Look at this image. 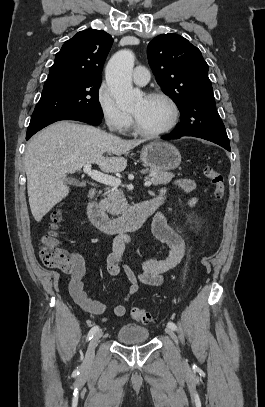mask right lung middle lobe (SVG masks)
I'll return each instance as SVG.
<instances>
[{"mask_svg":"<svg viewBox=\"0 0 265 407\" xmlns=\"http://www.w3.org/2000/svg\"><path fill=\"white\" fill-rule=\"evenodd\" d=\"M100 83L101 80L67 74L48 77L32 114L27 134H34L53 122L76 115L102 118L98 101Z\"/></svg>","mask_w":265,"mask_h":407,"instance_id":"dd1d6c3e","label":"right lung middle lobe"}]
</instances>
